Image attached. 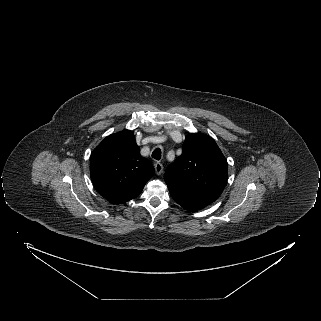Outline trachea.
<instances>
[{
	"mask_svg": "<svg viewBox=\"0 0 321 321\" xmlns=\"http://www.w3.org/2000/svg\"><path fill=\"white\" fill-rule=\"evenodd\" d=\"M161 149L160 148H156L153 152H152V157L156 160H160L161 159Z\"/></svg>",
	"mask_w": 321,
	"mask_h": 321,
	"instance_id": "3493384b",
	"label": "trachea"
}]
</instances>
